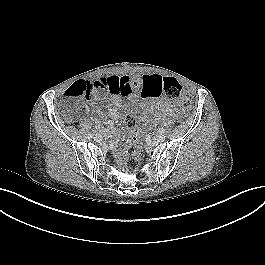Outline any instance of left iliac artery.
Returning a JSON list of instances; mask_svg holds the SVG:
<instances>
[{
    "label": "left iliac artery",
    "instance_id": "left-iliac-artery-1",
    "mask_svg": "<svg viewBox=\"0 0 265 265\" xmlns=\"http://www.w3.org/2000/svg\"><path fill=\"white\" fill-rule=\"evenodd\" d=\"M159 132L162 133V134H164L165 133V130L163 128H160L159 129Z\"/></svg>",
    "mask_w": 265,
    "mask_h": 265
}]
</instances>
